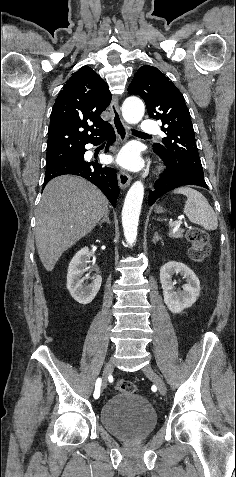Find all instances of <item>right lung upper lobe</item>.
<instances>
[{
  "label": "right lung upper lobe",
  "instance_id": "obj_1",
  "mask_svg": "<svg viewBox=\"0 0 236 477\" xmlns=\"http://www.w3.org/2000/svg\"><path fill=\"white\" fill-rule=\"evenodd\" d=\"M111 98L107 84L90 67L83 66L72 74L52 109L46 167L59 165L77 155L85 144L107 131L110 124L100 114L109 106Z\"/></svg>",
  "mask_w": 236,
  "mask_h": 477
}]
</instances>
